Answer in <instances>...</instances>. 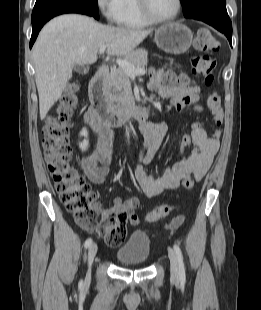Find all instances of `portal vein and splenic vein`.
<instances>
[{"label": "portal vein and splenic vein", "instance_id": "obj_1", "mask_svg": "<svg viewBox=\"0 0 261 310\" xmlns=\"http://www.w3.org/2000/svg\"><path fill=\"white\" fill-rule=\"evenodd\" d=\"M107 48L106 44H103L99 48V52L103 54ZM116 63L121 67L130 77H135V76H142L145 75L146 71L144 68H135L133 65H131L129 62L126 60L118 59L116 60Z\"/></svg>", "mask_w": 261, "mask_h": 310}]
</instances>
